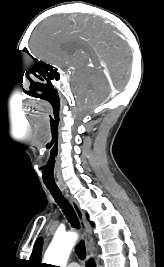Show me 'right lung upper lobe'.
<instances>
[{"label": "right lung upper lobe", "mask_w": 164, "mask_h": 267, "mask_svg": "<svg viewBox=\"0 0 164 267\" xmlns=\"http://www.w3.org/2000/svg\"><path fill=\"white\" fill-rule=\"evenodd\" d=\"M41 249H42V238H39L33 247V252H32L31 257L29 259V263H30L31 267H41L42 266V264L40 262Z\"/></svg>", "instance_id": "1"}]
</instances>
